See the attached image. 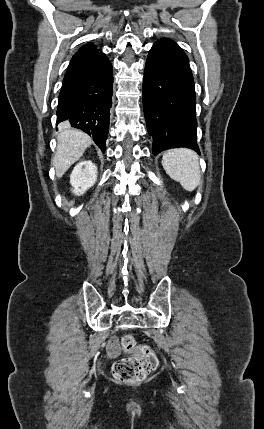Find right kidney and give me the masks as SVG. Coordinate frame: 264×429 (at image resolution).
<instances>
[{"label": "right kidney", "instance_id": "obj_1", "mask_svg": "<svg viewBox=\"0 0 264 429\" xmlns=\"http://www.w3.org/2000/svg\"><path fill=\"white\" fill-rule=\"evenodd\" d=\"M97 180V167L90 160L79 162L70 175V184L72 192L76 195H82L87 189L92 187Z\"/></svg>", "mask_w": 264, "mask_h": 429}]
</instances>
